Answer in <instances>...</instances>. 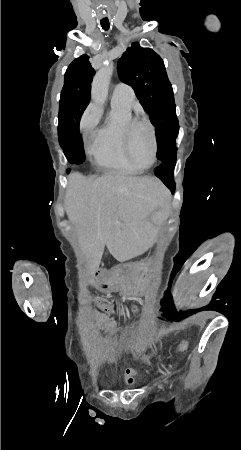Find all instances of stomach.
<instances>
[{
    "label": "stomach",
    "mask_w": 241,
    "mask_h": 450,
    "mask_svg": "<svg viewBox=\"0 0 241 450\" xmlns=\"http://www.w3.org/2000/svg\"><path fill=\"white\" fill-rule=\"evenodd\" d=\"M151 263V260L147 259L136 264L117 268L111 276L112 286L124 291H142L148 289L153 283L154 278Z\"/></svg>",
    "instance_id": "obj_1"
}]
</instances>
